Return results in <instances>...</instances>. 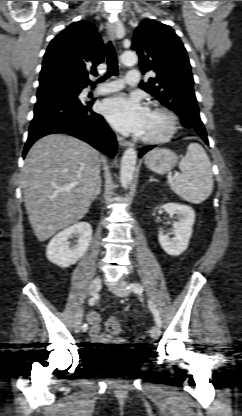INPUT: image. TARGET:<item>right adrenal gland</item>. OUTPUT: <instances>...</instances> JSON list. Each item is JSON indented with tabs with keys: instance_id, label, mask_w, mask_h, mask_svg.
Here are the masks:
<instances>
[{
	"instance_id": "obj_1",
	"label": "right adrenal gland",
	"mask_w": 242,
	"mask_h": 416,
	"mask_svg": "<svg viewBox=\"0 0 242 416\" xmlns=\"http://www.w3.org/2000/svg\"><path fill=\"white\" fill-rule=\"evenodd\" d=\"M101 186H102V180L99 177V180H98V183H97V186H96V190H95V193H94V196H93V200L97 199L98 195L101 193Z\"/></svg>"
}]
</instances>
